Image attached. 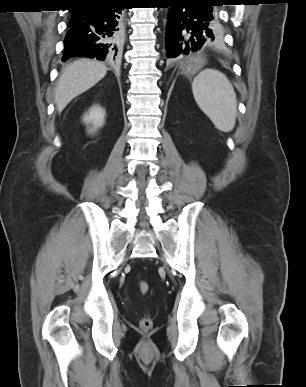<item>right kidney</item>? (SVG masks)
I'll return each instance as SVG.
<instances>
[{
  "instance_id": "ca27d5eb",
  "label": "right kidney",
  "mask_w": 306,
  "mask_h": 387,
  "mask_svg": "<svg viewBox=\"0 0 306 387\" xmlns=\"http://www.w3.org/2000/svg\"><path fill=\"white\" fill-rule=\"evenodd\" d=\"M105 111L99 105L90 108L89 112L84 115V123L91 124L92 127L88 130L89 133H95L98 128L105 123Z\"/></svg>"
}]
</instances>
